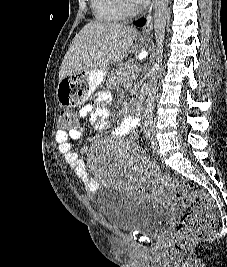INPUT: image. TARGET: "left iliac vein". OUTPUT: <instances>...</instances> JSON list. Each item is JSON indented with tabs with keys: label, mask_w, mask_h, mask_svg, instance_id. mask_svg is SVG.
<instances>
[{
	"label": "left iliac vein",
	"mask_w": 227,
	"mask_h": 267,
	"mask_svg": "<svg viewBox=\"0 0 227 267\" xmlns=\"http://www.w3.org/2000/svg\"><path fill=\"white\" fill-rule=\"evenodd\" d=\"M151 144H152V151L154 154L159 153V147H158V141L156 138L152 137L151 138Z\"/></svg>",
	"instance_id": "4c4485c4"
}]
</instances>
